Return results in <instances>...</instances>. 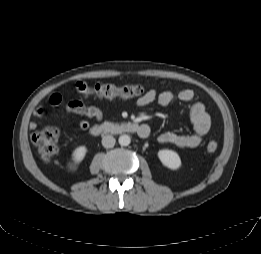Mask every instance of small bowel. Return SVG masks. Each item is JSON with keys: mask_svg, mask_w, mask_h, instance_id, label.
<instances>
[{"mask_svg": "<svg viewBox=\"0 0 261 254\" xmlns=\"http://www.w3.org/2000/svg\"><path fill=\"white\" fill-rule=\"evenodd\" d=\"M54 96L59 97L57 94L52 95L49 98V104L51 106H58L60 103L52 104V99ZM195 99V93L190 89H183L179 91L164 90L161 92H158L156 89H150L137 100V105L139 107H144L155 100H157L160 105L165 107L171 106L176 102L191 104L190 118L194 127V134L164 132L158 136L157 141L160 144H171L180 149H193L202 143L204 136L209 132L211 127L210 116L205 105ZM65 111L80 118L79 128L84 132L87 131L90 126L88 119H95L96 121L102 120V113L98 108L87 105L81 100L68 101L65 105ZM33 115L36 119H40L44 115V110L42 108H36ZM37 126V121H32L30 123L31 129H35ZM143 126L147 127L148 131L140 134V137L147 138L150 135L151 130L148 125L144 124Z\"/></svg>", "mask_w": 261, "mask_h": 254, "instance_id": "obj_1", "label": "small bowel"}]
</instances>
